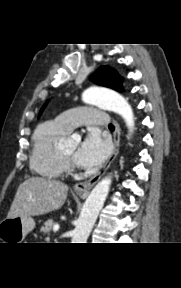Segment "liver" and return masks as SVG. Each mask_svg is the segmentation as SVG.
I'll use <instances>...</instances> for the list:
<instances>
[{
    "instance_id": "liver-1",
    "label": "liver",
    "mask_w": 181,
    "mask_h": 288,
    "mask_svg": "<svg viewBox=\"0 0 181 288\" xmlns=\"http://www.w3.org/2000/svg\"><path fill=\"white\" fill-rule=\"evenodd\" d=\"M68 186L61 181L30 177L21 183L8 212V218L39 216L62 207Z\"/></svg>"
}]
</instances>
